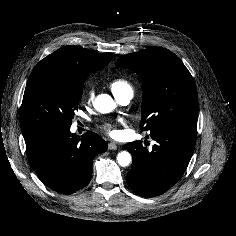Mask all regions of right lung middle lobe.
<instances>
[{
    "label": "right lung middle lobe",
    "mask_w": 236,
    "mask_h": 236,
    "mask_svg": "<svg viewBox=\"0 0 236 236\" xmlns=\"http://www.w3.org/2000/svg\"><path fill=\"white\" fill-rule=\"evenodd\" d=\"M87 76L65 79L30 75L20 113L22 133L41 129H69L82 97Z\"/></svg>",
    "instance_id": "right-lung-middle-lobe-1"
}]
</instances>
